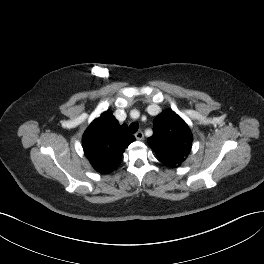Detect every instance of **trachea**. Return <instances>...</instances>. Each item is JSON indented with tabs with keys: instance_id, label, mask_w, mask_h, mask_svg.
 Segmentation results:
<instances>
[{
	"instance_id": "1",
	"label": "trachea",
	"mask_w": 264,
	"mask_h": 264,
	"mask_svg": "<svg viewBox=\"0 0 264 264\" xmlns=\"http://www.w3.org/2000/svg\"><path fill=\"white\" fill-rule=\"evenodd\" d=\"M128 130H129L130 133H136L137 130H138V124H137L136 122H132V123L129 125Z\"/></svg>"
}]
</instances>
